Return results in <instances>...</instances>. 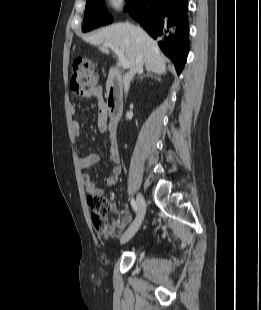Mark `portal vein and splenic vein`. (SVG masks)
<instances>
[{
	"instance_id": "obj_1",
	"label": "portal vein and splenic vein",
	"mask_w": 261,
	"mask_h": 310,
	"mask_svg": "<svg viewBox=\"0 0 261 310\" xmlns=\"http://www.w3.org/2000/svg\"><path fill=\"white\" fill-rule=\"evenodd\" d=\"M103 47L111 48L117 54L120 65L124 69L129 68V66H130L129 61L126 59L124 52L121 49H119L118 47L114 46L111 43H104Z\"/></svg>"
}]
</instances>
